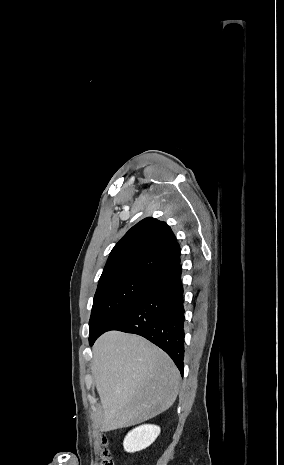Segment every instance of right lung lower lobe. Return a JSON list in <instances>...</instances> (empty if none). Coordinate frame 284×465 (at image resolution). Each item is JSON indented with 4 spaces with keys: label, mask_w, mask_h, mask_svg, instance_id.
<instances>
[{
    "label": "right lung lower lobe",
    "mask_w": 284,
    "mask_h": 465,
    "mask_svg": "<svg viewBox=\"0 0 284 465\" xmlns=\"http://www.w3.org/2000/svg\"><path fill=\"white\" fill-rule=\"evenodd\" d=\"M119 330L141 335L163 349L183 375L184 307L181 265L168 270L121 310L89 341L104 332Z\"/></svg>",
    "instance_id": "1"
}]
</instances>
